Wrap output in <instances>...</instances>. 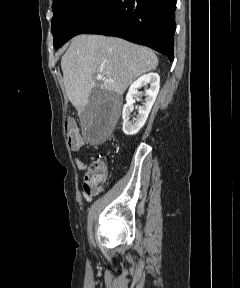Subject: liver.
I'll list each match as a JSON object with an SVG mask.
<instances>
[{
    "instance_id": "obj_1",
    "label": "liver",
    "mask_w": 240,
    "mask_h": 288,
    "mask_svg": "<svg viewBox=\"0 0 240 288\" xmlns=\"http://www.w3.org/2000/svg\"><path fill=\"white\" fill-rule=\"evenodd\" d=\"M157 66L158 57L150 49L102 35L76 36L61 59L65 89L79 114L88 105L92 89L122 95L137 77ZM97 74L103 75L102 83L95 82Z\"/></svg>"
}]
</instances>
